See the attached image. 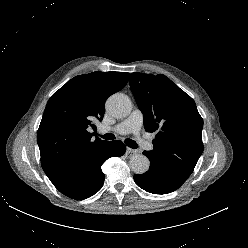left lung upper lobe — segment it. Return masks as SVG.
Listing matches in <instances>:
<instances>
[{
  "instance_id": "1",
  "label": "left lung upper lobe",
  "mask_w": 248,
  "mask_h": 248,
  "mask_svg": "<svg viewBox=\"0 0 248 248\" xmlns=\"http://www.w3.org/2000/svg\"><path fill=\"white\" fill-rule=\"evenodd\" d=\"M129 84L145 130L157 131L149 160L185 182L203 152V119L194 100L162 74L132 73Z\"/></svg>"
}]
</instances>
